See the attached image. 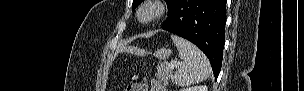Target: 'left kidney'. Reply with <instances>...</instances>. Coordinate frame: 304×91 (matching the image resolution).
Instances as JSON below:
<instances>
[{
	"label": "left kidney",
	"mask_w": 304,
	"mask_h": 91,
	"mask_svg": "<svg viewBox=\"0 0 304 91\" xmlns=\"http://www.w3.org/2000/svg\"><path fill=\"white\" fill-rule=\"evenodd\" d=\"M180 91H208V87L207 86H192V87H186L181 89Z\"/></svg>",
	"instance_id": "obj_1"
}]
</instances>
